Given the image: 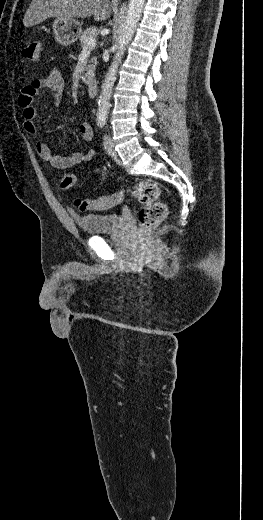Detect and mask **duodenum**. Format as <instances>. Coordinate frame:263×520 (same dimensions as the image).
<instances>
[{
  "instance_id": "duodenum-1",
  "label": "duodenum",
  "mask_w": 263,
  "mask_h": 520,
  "mask_svg": "<svg viewBox=\"0 0 263 520\" xmlns=\"http://www.w3.org/2000/svg\"><path fill=\"white\" fill-rule=\"evenodd\" d=\"M88 85V94L90 97H95L98 93V83L94 79H90L87 83Z\"/></svg>"
}]
</instances>
